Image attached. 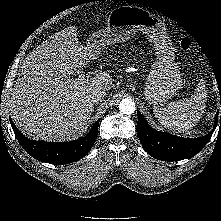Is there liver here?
<instances>
[{"label":"liver","instance_id":"liver-1","mask_svg":"<svg viewBox=\"0 0 221 221\" xmlns=\"http://www.w3.org/2000/svg\"><path fill=\"white\" fill-rule=\"evenodd\" d=\"M97 54L81 45L75 27L58 32L29 53L11 96L16 126L31 138L51 142L81 135L94 110L91 93L110 90L113 79L107 72L83 81L70 76Z\"/></svg>","mask_w":221,"mask_h":221}]
</instances>
